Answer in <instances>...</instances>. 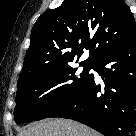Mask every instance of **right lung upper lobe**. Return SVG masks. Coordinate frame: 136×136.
I'll list each match as a JSON object with an SVG mask.
<instances>
[{"mask_svg": "<svg viewBox=\"0 0 136 136\" xmlns=\"http://www.w3.org/2000/svg\"><path fill=\"white\" fill-rule=\"evenodd\" d=\"M135 36L136 22L123 0H64L34 24L19 81L31 73L78 61L83 49L90 50L83 62L94 63Z\"/></svg>", "mask_w": 136, "mask_h": 136, "instance_id": "1", "label": "right lung upper lobe"}]
</instances>
